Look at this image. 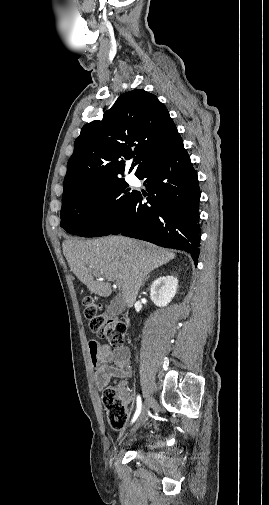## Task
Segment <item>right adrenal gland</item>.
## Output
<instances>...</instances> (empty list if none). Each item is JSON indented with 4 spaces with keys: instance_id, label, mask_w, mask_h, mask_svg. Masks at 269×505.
Instances as JSON below:
<instances>
[{
    "instance_id": "1",
    "label": "right adrenal gland",
    "mask_w": 269,
    "mask_h": 505,
    "mask_svg": "<svg viewBox=\"0 0 269 505\" xmlns=\"http://www.w3.org/2000/svg\"><path fill=\"white\" fill-rule=\"evenodd\" d=\"M149 276H150V274H148V275L146 276V278L143 280V283H142V284H144V282H145V281L149 278Z\"/></svg>"
}]
</instances>
